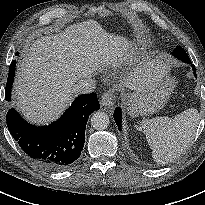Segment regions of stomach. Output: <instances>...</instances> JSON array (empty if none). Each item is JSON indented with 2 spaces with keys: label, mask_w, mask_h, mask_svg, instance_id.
<instances>
[{
  "label": "stomach",
  "mask_w": 205,
  "mask_h": 205,
  "mask_svg": "<svg viewBox=\"0 0 205 205\" xmlns=\"http://www.w3.org/2000/svg\"><path fill=\"white\" fill-rule=\"evenodd\" d=\"M174 88V79L165 72L150 88L125 94L127 112L136 117L159 111L167 103Z\"/></svg>",
  "instance_id": "stomach-1"
}]
</instances>
